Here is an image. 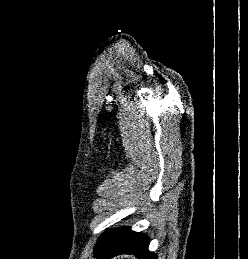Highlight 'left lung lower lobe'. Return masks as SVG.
I'll use <instances>...</instances> for the list:
<instances>
[{
    "label": "left lung lower lobe",
    "instance_id": "1",
    "mask_svg": "<svg viewBox=\"0 0 248 259\" xmlns=\"http://www.w3.org/2000/svg\"><path fill=\"white\" fill-rule=\"evenodd\" d=\"M148 238L129 228H117L107 231L99 237L96 245L97 259H110L119 254H134L141 259H157L148 250Z\"/></svg>",
    "mask_w": 248,
    "mask_h": 259
}]
</instances>
